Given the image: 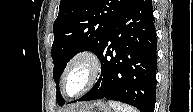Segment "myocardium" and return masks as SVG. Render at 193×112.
<instances>
[{"label":"myocardium","mask_w":193,"mask_h":112,"mask_svg":"<svg viewBox=\"0 0 193 112\" xmlns=\"http://www.w3.org/2000/svg\"><path fill=\"white\" fill-rule=\"evenodd\" d=\"M77 63H84L88 66L89 76L85 86L76 94H69L67 92L66 82L70 70ZM102 70V64L97 53L91 49H82L74 53L67 61L63 74H62V89L63 92L69 97H79L91 90L97 83Z\"/></svg>","instance_id":"obj_1"}]
</instances>
